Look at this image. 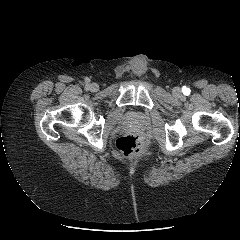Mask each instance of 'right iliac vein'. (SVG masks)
Returning a JSON list of instances; mask_svg holds the SVG:
<instances>
[{
  "label": "right iliac vein",
  "instance_id": "1",
  "mask_svg": "<svg viewBox=\"0 0 240 240\" xmlns=\"http://www.w3.org/2000/svg\"><path fill=\"white\" fill-rule=\"evenodd\" d=\"M89 89L92 91V92H97L99 90V85L96 84V83H91L89 85Z\"/></svg>",
  "mask_w": 240,
  "mask_h": 240
}]
</instances>
